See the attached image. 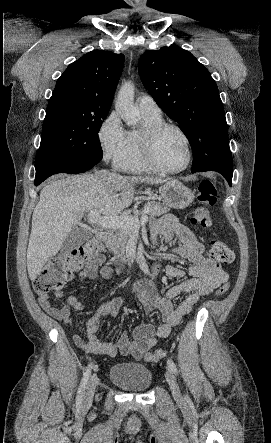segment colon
I'll return each mask as SVG.
<instances>
[{
  "label": "colon",
  "mask_w": 271,
  "mask_h": 443,
  "mask_svg": "<svg viewBox=\"0 0 271 443\" xmlns=\"http://www.w3.org/2000/svg\"><path fill=\"white\" fill-rule=\"evenodd\" d=\"M198 201L201 207L196 208L191 215V223L202 227L212 225V217L208 208L217 201V188L213 180L204 179L198 188ZM102 257V246L95 241L87 242L65 256H57L51 259L42 269L33 282L34 291L40 295L60 289L70 278L73 272L80 270L83 265L98 263ZM208 257L220 264H229L234 260L233 251L222 241L213 240L210 245ZM230 289L229 283H223L216 290V296H222ZM166 352L163 349H155L144 355L148 362H158L163 359Z\"/></svg>",
  "instance_id": "colon-1"
}]
</instances>
